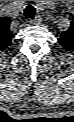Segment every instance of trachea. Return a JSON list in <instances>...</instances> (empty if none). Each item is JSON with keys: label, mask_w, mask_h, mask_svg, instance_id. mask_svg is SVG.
Here are the masks:
<instances>
[{"label": "trachea", "mask_w": 74, "mask_h": 122, "mask_svg": "<svg viewBox=\"0 0 74 122\" xmlns=\"http://www.w3.org/2000/svg\"><path fill=\"white\" fill-rule=\"evenodd\" d=\"M36 10L33 5L29 4L24 9V17L26 19H34Z\"/></svg>", "instance_id": "trachea-1"}]
</instances>
